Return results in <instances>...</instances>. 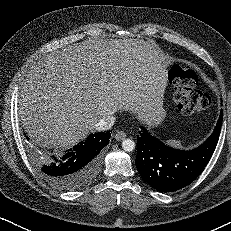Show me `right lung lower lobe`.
Instances as JSON below:
<instances>
[{
	"label": "right lung lower lobe",
	"mask_w": 231,
	"mask_h": 231,
	"mask_svg": "<svg viewBox=\"0 0 231 231\" xmlns=\"http://www.w3.org/2000/svg\"><path fill=\"white\" fill-rule=\"evenodd\" d=\"M110 137L109 131L91 134L84 142L62 152L47 150L40 154L34 151L35 166L40 175L54 187L63 191L79 189L98 174L102 150L109 144Z\"/></svg>",
	"instance_id": "98d812e1"
}]
</instances>
